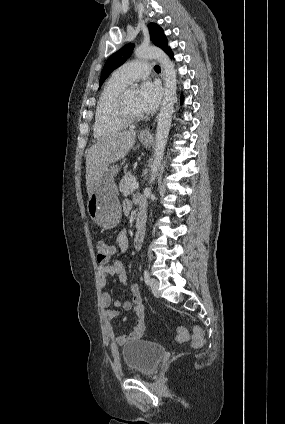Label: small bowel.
I'll return each instance as SVG.
<instances>
[{"label": "small bowel", "mask_w": 285, "mask_h": 424, "mask_svg": "<svg viewBox=\"0 0 285 424\" xmlns=\"http://www.w3.org/2000/svg\"><path fill=\"white\" fill-rule=\"evenodd\" d=\"M131 209V203L125 202L124 212L128 213ZM116 246L119 252L123 253L128 247V238L124 231H121L115 239ZM134 245L136 249H140L142 246V238L135 237ZM99 275V287L102 290L100 296L101 306L105 309V317L108 321H111L113 318L119 315L118 307H122L126 311H132L134 313L135 322L127 334H121L115 337V343L117 345H124L127 342L137 340L141 338L144 334L146 324H145V310L142 304L141 291L138 284H132L129 286L130 293L132 295L131 301L121 302L116 300L114 302V309H110L112 303L111 296L108 292L104 291V288L107 284V279L109 277H117L119 281L123 284L127 282V275L123 266V263L120 259H116L112 264L101 265L98 267ZM126 319V318H125Z\"/></svg>", "instance_id": "c3829d8e"}]
</instances>
